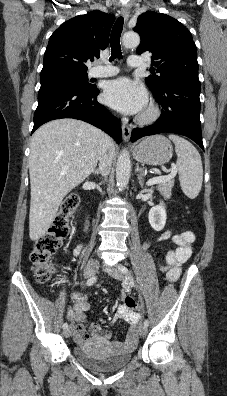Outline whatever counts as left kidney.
Returning <instances> with one entry per match:
<instances>
[{"label": "left kidney", "instance_id": "1", "mask_svg": "<svg viewBox=\"0 0 227 396\" xmlns=\"http://www.w3.org/2000/svg\"><path fill=\"white\" fill-rule=\"evenodd\" d=\"M148 219L151 227L155 231H161L164 228L167 215L163 201L160 202L159 205L154 206L150 209Z\"/></svg>", "mask_w": 227, "mask_h": 396}]
</instances>
